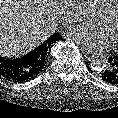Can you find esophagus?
Returning <instances> with one entry per match:
<instances>
[{
	"label": "esophagus",
	"mask_w": 118,
	"mask_h": 118,
	"mask_svg": "<svg viewBox=\"0 0 118 118\" xmlns=\"http://www.w3.org/2000/svg\"><path fill=\"white\" fill-rule=\"evenodd\" d=\"M81 49H82V51H83L84 53H86V54H89V55L94 54V51H93V50L87 48V47L84 46V45L81 46Z\"/></svg>",
	"instance_id": "34e87169"
}]
</instances>
